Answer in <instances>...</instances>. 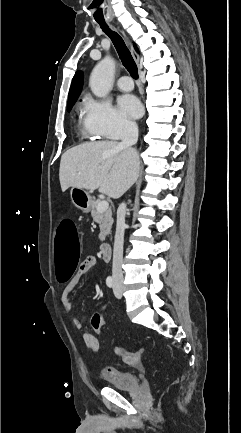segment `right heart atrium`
Returning a JSON list of instances; mask_svg holds the SVG:
<instances>
[{
    "mask_svg": "<svg viewBox=\"0 0 241 433\" xmlns=\"http://www.w3.org/2000/svg\"><path fill=\"white\" fill-rule=\"evenodd\" d=\"M83 122L87 133L93 137L116 139L135 130V124L116 110L110 101L91 97H87L83 104Z\"/></svg>",
    "mask_w": 241,
    "mask_h": 433,
    "instance_id": "1",
    "label": "right heart atrium"
}]
</instances>
